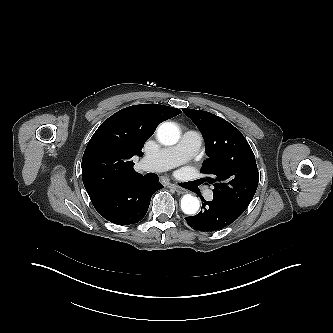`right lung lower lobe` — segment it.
<instances>
[{
	"label": "right lung lower lobe",
	"mask_w": 333,
	"mask_h": 333,
	"mask_svg": "<svg viewBox=\"0 0 333 333\" xmlns=\"http://www.w3.org/2000/svg\"><path fill=\"white\" fill-rule=\"evenodd\" d=\"M161 188L163 186L158 181L143 177L109 189L91 201L106 220L117 225H130L145 216L152 194Z\"/></svg>",
	"instance_id": "obj_1"
}]
</instances>
